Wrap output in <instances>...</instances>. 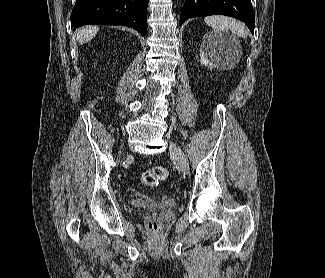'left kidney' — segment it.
<instances>
[{
    "mask_svg": "<svg viewBox=\"0 0 325 278\" xmlns=\"http://www.w3.org/2000/svg\"><path fill=\"white\" fill-rule=\"evenodd\" d=\"M224 46L221 38L217 36L206 37L200 50L201 64L210 68L216 67L219 54L222 53Z\"/></svg>",
    "mask_w": 325,
    "mask_h": 278,
    "instance_id": "5707ae66",
    "label": "left kidney"
}]
</instances>
